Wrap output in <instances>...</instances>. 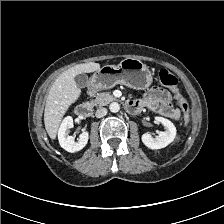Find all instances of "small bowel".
Masks as SVG:
<instances>
[{
  "instance_id": "c3829d8e",
  "label": "small bowel",
  "mask_w": 224,
  "mask_h": 224,
  "mask_svg": "<svg viewBox=\"0 0 224 224\" xmlns=\"http://www.w3.org/2000/svg\"><path fill=\"white\" fill-rule=\"evenodd\" d=\"M141 108H150L160 115L177 119L179 111L176 110L171 103V96L168 92L161 88H151L142 99L134 100Z\"/></svg>"
}]
</instances>
